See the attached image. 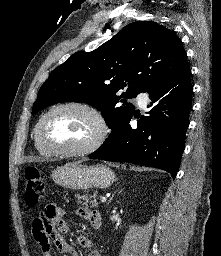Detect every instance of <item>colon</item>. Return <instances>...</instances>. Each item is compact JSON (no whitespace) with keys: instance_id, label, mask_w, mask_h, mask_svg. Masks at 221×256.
<instances>
[{"instance_id":"1","label":"colon","mask_w":221,"mask_h":256,"mask_svg":"<svg viewBox=\"0 0 221 256\" xmlns=\"http://www.w3.org/2000/svg\"><path fill=\"white\" fill-rule=\"evenodd\" d=\"M45 195V182L36 167L25 170V201L30 207L36 206Z\"/></svg>"}]
</instances>
